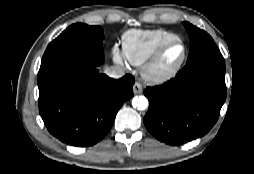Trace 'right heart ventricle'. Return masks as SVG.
Returning <instances> with one entry per match:
<instances>
[{"mask_svg": "<svg viewBox=\"0 0 254 174\" xmlns=\"http://www.w3.org/2000/svg\"><path fill=\"white\" fill-rule=\"evenodd\" d=\"M177 38V35L164 29H131L122 36V48L126 61L139 66L144 64L153 52L164 42Z\"/></svg>", "mask_w": 254, "mask_h": 174, "instance_id": "obj_1", "label": "right heart ventricle"}]
</instances>
